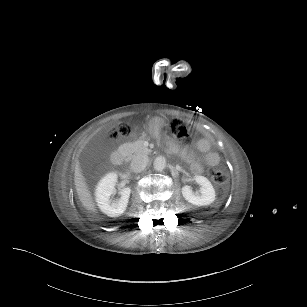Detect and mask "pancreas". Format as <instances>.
I'll use <instances>...</instances> for the list:
<instances>
[{
    "label": "pancreas",
    "mask_w": 307,
    "mask_h": 307,
    "mask_svg": "<svg viewBox=\"0 0 307 307\" xmlns=\"http://www.w3.org/2000/svg\"><path fill=\"white\" fill-rule=\"evenodd\" d=\"M134 146H135V153H144V145H143V140L139 139L137 141L134 142Z\"/></svg>",
    "instance_id": "obj_1"
}]
</instances>
